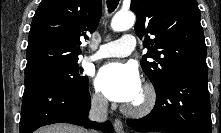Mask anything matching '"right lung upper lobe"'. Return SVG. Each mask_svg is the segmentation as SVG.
I'll return each mask as SVG.
<instances>
[{
	"label": "right lung upper lobe",
	"instance_id": "right-lung-upper-lobe-1",
	"mask_svg": "<svg viewBox=\"0 0 221 133\" xmlns=\"http://www.w3.org/2000/svg\"><path fill=\"white\" fill-rule=\"evenodd\" d=\"M101 0H42L31 23L25 75L78 61L80 38L94 32Z\"/></svg>",
	"mask_w": 221,
	"mask_h": 133
}]
</instances>
